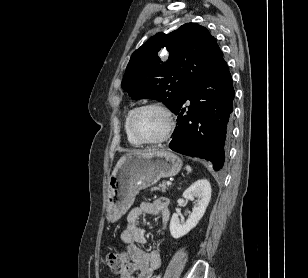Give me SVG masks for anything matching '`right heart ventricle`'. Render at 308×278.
Wrapping results in <instances>:
<instances>
[{"label": "right heart ventricle", "mask_w": 308, "mask_h": 278, "mask_svg": "<svg viewBox=\"0 0 308 278\" xmlns=\"http://www.w3.org/2000/svg\"><path fill=\"white\" fill-rule=\"evenodd\" d=\"M133 111V109H130L126 116H125V119H124V131H125V134H126V137H127V140L128 142L132 145V146H140L141 143L138 142L130 133L129 131V127H128V120H129V116L131 114V112Z\"/></svg>", "instance_id": "1"}]
</instances>
